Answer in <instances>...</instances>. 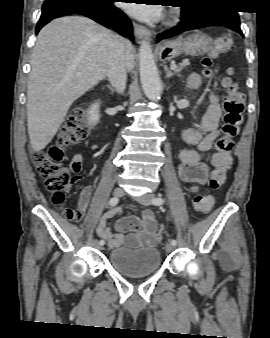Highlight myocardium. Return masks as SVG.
<instances>
[{
  "label": "myocardium",
  "instance_id": "f54148a6",
  "mask_svg": "<svg viewBox=\"0 0 270 338\" xmlns=\"http://www.w3.org/2000/svg\"><path fill=\"white\" fill-rule=\"evenodd\" d=\"M179 15V10H177L176 8H172L169 12V17H168V21L167 24H169L171 22V19L178 16Z\"/></svg>",
  "mask_w": 270,
  "mask_h": 338
}]
</instances>
